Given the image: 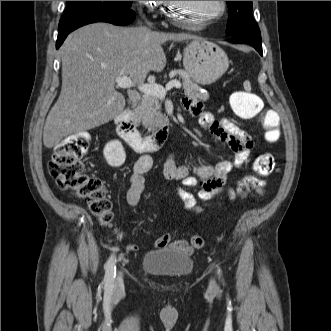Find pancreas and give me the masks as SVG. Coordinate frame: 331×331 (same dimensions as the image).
<instances>
[{
    "label": "pancreas",
    "instance_id": "cf45deb5",
    "mask_svg": "<svg viewBox=\"0 0 331 331\" xmlns=\"http://www.w3.org/2000/svg\"><path fill=\"white\" fill-rule=\"evenodd\" d=\"M175 72L182 79L186 96L199 100H206L208 98L207 93H201L199 91L198 84L190 79L187 72L182 70ZM164 120L165 116L161 113L159 98L150 94L143 95L138 106L134 109V123L136 125L142 123L149 131H153L155 128L160 127L164 123Z\"/></svg>",
    "mask_w": 331,
    "mask_h": 331
}]
</instances>
